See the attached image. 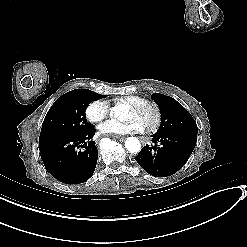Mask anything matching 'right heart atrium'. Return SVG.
Wrapping results in <instances>:
<instances>
[{"mask_svg":"<svg viewBox=\"0 0 247 247\" xmlns=\"http://www.w3.org/2000/svg\"><path fill=\"white\" fill-rule=\"evenodd\" d=\"M110 113L109 105L102 100H93L85 108V115L92 123H99Z\"/></svg>","mask_w":247,"mask_h":247,"instance_id":"d8ad5b80","label":"right heart atrium"}]
</instances>
